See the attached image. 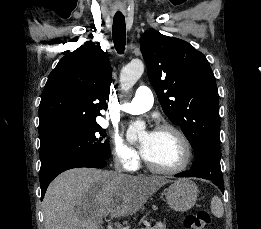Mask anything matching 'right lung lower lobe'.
Returning a JSON list of instances; mask_svg holds the SVG:
<instances>
[{
	"instance_id": "right-lung-lower-lobe-1",
	"label": "right lung lower lobe",
	"mask_w": 261,
	"mask_h": 229,
	"mask_svg": "<svg viewBox=\"0 0 261 229\" xmlns=\"http://www.w3.org/2000/svg\"><path fill=\"white\" fill-rule=\"evenodd\" d=\"M106 166H107L106 160L84 159V160H74L68 162L54 163L42 167L40 170L41 200L44 197V194L47 190L49 183L60 173L72 168H80V167L104 168Z\"/></svg>"
}]
</instances>
